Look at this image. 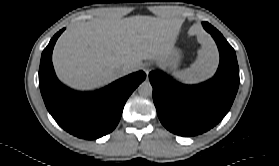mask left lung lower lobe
<instances>
[{"instance_id": "left-lung-lower-lobe-1", "label": "left lung lower lobe", "mask_w": 279, "mask_h": 166, "mask_svg": "<svg viewBox=\"0 0 279 166\" xmlns=\"http://www.w3.org/2000/svg\"><path fill=\"white\" fill-rule=\"evenodd\" d=\"M217 43L220 66L211 80L184 85L152 71L153 101L161 123L174 134L194 136L218 124L232 106L239 86V68L234 49L208 22H202Z\"/></svg>"}]
</instances>
